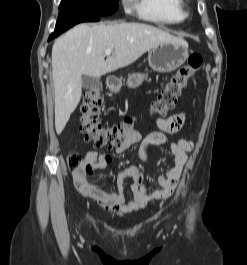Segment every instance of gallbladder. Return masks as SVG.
Returning a JSON list of instances; mask_svg holds the SVG:
<instances>
[{
    "label": "gallbladder",
    "instance_id": "obj_1",
    "mask_svg": "<svg viewBox=\"0 0 247 265\" xmlns=\"http://www.w3.org/2000/svg\"><path fill=\"white\" fill-rule=\"evenodd\" d=\"M99 83V79L95 77L84 76L82 78V87L84 89H91Z\"/></svg>",
    "mask_w": 247,
    "mask_h": 265
}]
</instances>
